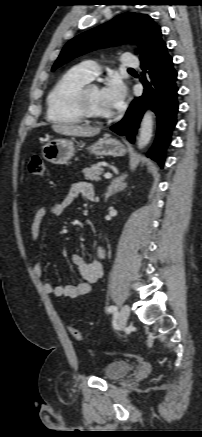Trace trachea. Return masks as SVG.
I'll use <instances>...</instances> for the list:
<instances>
[{
	"label": "trachea",
	"mask_w": 202,
	"mask_h": 437,
	"mask_svg": "<svg viewBox=\"0 0 202 437\" xmlns=\"http://www.w3.org/2000/svg\"><path fill=\"white\" fill-rule=\"evenodd\" d=\"M129 70H130V71H133V69H131V68H130Z\"/></svg>",
	"instance_id": "3493384b"
}]
</instances>
